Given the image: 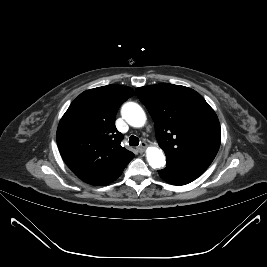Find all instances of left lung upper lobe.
<instances>
[{
	"label": "left lung upper lobe",
	"instance_id": "1",
	"mask_svg": "<svg viewBox=\"0 0 267 267\" xmlns=\"http://www.w3.org/2000/svg\"><path fill=\"white\" fill-rule=\"evenodd\" d=\"M154 123L155 135L166 158L205 171L221 141L214 110L196 91L161 83L136 89Z\"/></svg>",
	"mask_w": 267,
	"mask_h": 267
}]
</instances>
